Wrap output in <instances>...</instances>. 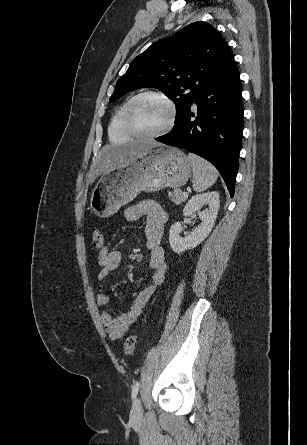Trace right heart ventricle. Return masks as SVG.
<instances>
[{
    "label": "right heart ventricle",
    "mask_w": 307,
    "mask_h": 445,
    "mask_svg": "<svg viewBox=\"0 0 307 445\" xmlns=\"http://www.w3.org/2000/svg\"><path fill=\"white\" fill-rule=\"evenodd\" d=\"M128 103L112 117L109 125V136L111 140H131L132 136L126 123V111Z\"/></svg>",
    "instance_id": "right-heart-ventricle-1"
}]
</instances>
